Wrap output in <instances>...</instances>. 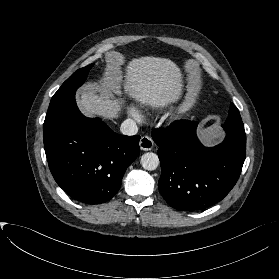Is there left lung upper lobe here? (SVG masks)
<instances>
[{
	"mask_svg": "<svg viewBox=\"0 0 279 279\" xmlns=\"http://www.w3.org/2000/svg\"><path fill=\"white\" fill-rule=\"evenodd\" d=\"M228 113H229V116L224 124L237 128V129H240V130H244V125H243L239 110L237 109V107L234 104L231 103Z\"/></svg>",
	"mask_w": 279,
	"mask_h": 279,
	"instance_id": "obj_1",
	"label": "left lung upper lobe"
}]
</instances>
